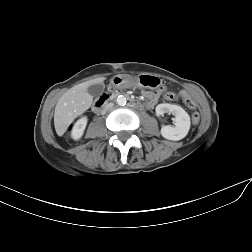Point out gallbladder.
<instances>
[{"label":"gallbladder","mask_w":252,"mask_h":252,"mask_svg":"<svg viewBox=\"0 0 252 252\" xmlns=\"http://www.w3.org/2000/svg\"><path fill=\"white\" fill-rule=\"evenodd\" d=\"M104 88H105V85L103 83H97V84L89 86L87 88V92L91 96L97 97L102 94V92L104 91Z\"/></svg>","instance_id":"obj_1"}]
</instances>
